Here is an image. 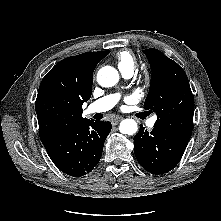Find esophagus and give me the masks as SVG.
Returning <instances> with one entry per match:
<instances>
[{"label": "esophagus", "mask_w": 221, "mask_h": 221, "mask_svg": "<svg viewBox=\"0 0 221 221\" xmlns=\"http://www.w3.org/2000/svg\"><path fill=\"white\" fill-rule=\"evenodd\" d=\"M121 120H122L121 117H116V118H114V119L112 120V124H113V125H117Z\"/></svg>", "instance_id": "obj_1"}]
</instances>
